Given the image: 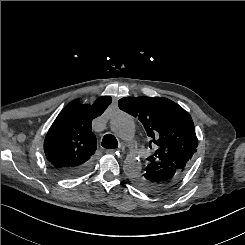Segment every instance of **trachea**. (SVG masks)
<instances>
[{
	"mask_svg": "<svg viewBox=\"0 0 245 245\" xmlns=\"http://www.w3.org/2000/svg\"><path fill=\"white\" fill-rule=\"evenodd\" d=\"M102 146L107 149H115L118 147V141L112 134H106L102 139Z\"/></svg>",
	"mask_w": 245,
	"mask_h": 245,
	"instance_id": "obj_1",
	"label": "trachea"
}]
</instances>
